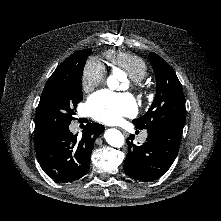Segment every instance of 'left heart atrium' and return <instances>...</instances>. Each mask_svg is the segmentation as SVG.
Instances as JSON below:
<instances>
[{"mask_svg":"<svg viewBox=\"0 0 221 221\" xmlns=\"http://www.w3.org/2000/svg\"><path fill=\"white\" fill-rule=\"evenodd\" d=\"M87 110L95 120L115 124L120 122L124 116L135 115L137 105L134 98L128 93L100 90L88 99Z\"/></svg>","mask_w":221,"mask_h":221,"instance_id":"left-heart-atrium-1","label":"left heart atrium"}]
</instances>
